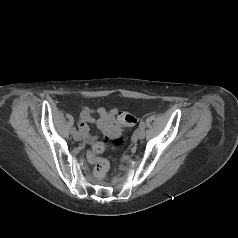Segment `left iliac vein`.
Returning a JSON list of instances; mask_svg holds the SVG:
<instances>
[{
    "instance_id": "4c4485c4",
    "label": "left iliac vein",
    "mask_w": 238,
    "mask_h": 238,
    "mask_svg": "<svg viewBox=\"0 0 238 238\" xmlns=\"http://www.w3.org/2000/svg\"><path fill=\"white\" fill-rule=\"evenodd\" d=\"M137 138L138 139H143L144 137H145V131H144V129H139L138 131H137Z\"/></svg>"
}]
</instances>
